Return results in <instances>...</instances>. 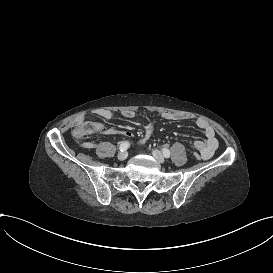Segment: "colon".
Masks as SVG:
<instances>
[{
    "instance_id": "5ec220e1",
    "label": "colon",
    "mask_w": 273,
    "mask_h": 273,
    "mask_svg": "<svg viewBox=\"0 0 273 273\" xmlns=\"http://www.w3.org/2000/svg\"><path fill=\"white\" fill-rule=\"evenodd\" d=\"M101 131V127L99 124L95 123L92 119L83 117H78L70 124L69 135L73 139L82 140L85 143H88L92 139V134L97 135ZM152 127H148L146 130L145 138L142 141H138L136 146L138 148H142L146 146L152 139L153 134Z\"/></svg>"
}]
</instances>
